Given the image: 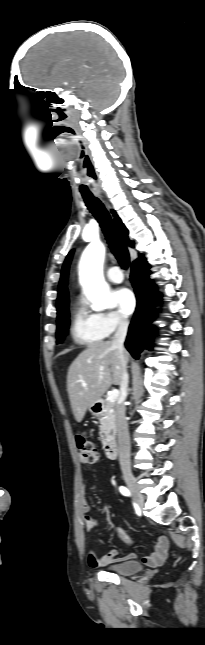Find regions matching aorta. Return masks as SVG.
Masks as SVG:
<instances>
[{
	"label": "aorta",
	"instance_id": "1",
	"mask_svg": "<svg viewBox=\"0 0 205 645\" xmlns=\"http://www.w3.org/2000/svg\"><path fill=\"white\" fill-rule=\"evenodd\" d=\"M105 247L102 243L92 242L84 250L80 260L79 278L84 293L94 310H105L113 306L109 288L103 278Z\"/></svg>",
	"mask_w": 205,
	"mask_h": 645
}]
</instances>
